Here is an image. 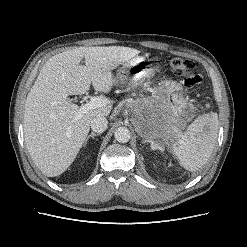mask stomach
Masks as SVG:
<instances>
[{
	"mask_svg": "<svg viewBox=\"0 0 247 247\" xmlns=\"http://www.w3.org/2000/svg\"><path fill=\"white\" fill-rule=\"evenodd\" d=\"M159 69L154 59L136 56L118 69L116 84L135 86L149 80ZM132 120L138 134L145 139L176 138L179 127L188 107L183 87L172 80H162L154 88L153 98L137 102Z\"/></svg>",
	"mask_w": 247,
	"mask_h": 247,
	"instance_id": "obj_1",
	"label": "stomach"
}]
</instances>
